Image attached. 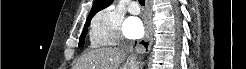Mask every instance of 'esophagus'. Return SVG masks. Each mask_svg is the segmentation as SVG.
<instances>
[{"instance_id":"1","label":"esophagus","mask_w":246,"mask_h":69,"mask_svg":"<svg viewBox=\"0 0 246 69\" xmlns=\"http://www.w3.org/2000/svg\"><path fill=\"white\" fill-rule=\"evenodd\" d=\"M151 15L150 6L148 7V21L145 29L144 37L137 43L136 52L141 55H146L149 53L151 46L153 44V31L151 28Z\"/></svg>"}]
</instances>
